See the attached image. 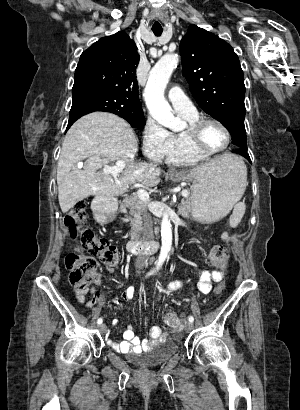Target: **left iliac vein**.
<instances>
[{"instance_id": "left-iliac-vein-1", "label": "left iliac vein", "mask_w": 300, "mask_h": 410, "mask_svg": "<svg viewBox=\"0 0 300 410\" xmlns=\"http://www.w3.org/2000/svg\"><path fill=\"white\" fill-rule=\"evenodd\" d=\"M193 329V324H192V322H186L185 323V330L187 331V332H189V331H191Z\"/></svg>"}]
</instances>
